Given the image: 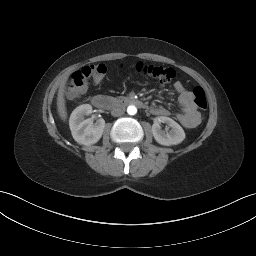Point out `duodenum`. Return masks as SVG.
Wrapping results in <instances>:
<instances>
[{
  "instance_id": "1",
  "label": "duodenum",
  "mask_w": 256,
  "mask_h": 256,
  "mask_svg": "<svg viewBox=\"0 0 256 256\" xmlns=\"http://www.w3.org/2000/svg\"><path fill=\"white\" fill-rule=\"evenodd\" d=\"M92 104L98 109H106L112 106L113 102L108 97L98 94L94 95L91 99ZM122 104L135 105L139 107H146L144 102L136 98H126L121 101Z\"/></svg>"
}]
</instances>
